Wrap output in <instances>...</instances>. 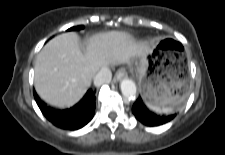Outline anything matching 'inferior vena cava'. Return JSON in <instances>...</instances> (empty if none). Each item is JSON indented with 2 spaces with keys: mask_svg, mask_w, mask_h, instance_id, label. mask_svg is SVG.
Segmentation results:
<instances>
[{
  "mask_svg": "<svg viewBox=\"0 0 225 155\" xmlns=\"http://www.w3.org/2000/svg\"><path fill=\"white\" fill-rule=\"evenodd\" d=\"M112 79V72L109 68H102L94 77V84L100 86L102 84L110 83Z\"/></svg>",
  "mask_w": 225,
  "mask_h": 155,
  "instance_id": "obj_1",
  "label": "inferior vena cava"
}]
</instances>
